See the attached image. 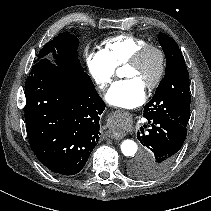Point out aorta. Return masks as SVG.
Here are the masks:
<instances>
[{
	"mask_svg": "<svg viewBox=\"0 0 211 211\" xmlns=\"http://www.w3.org/2000/svg\"><path fill=\"white\" fill-rule=\"evenodd\" d=\"M137 150L138 146L133 140L126 139L121 143V151L126 157H134Z\"/></svg>",
	"mask_w": 211,
	"mask_h": 211,
	"instance_id": "aorta-1",
	"label": "aorta"
}]
</instances>
